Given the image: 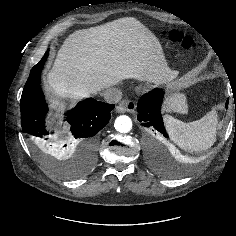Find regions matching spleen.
Returning <instances> with one entry per match:
<instances>
[{
  "instance_id": "1",
  "label": "spleen",
  "mask_w": 236,
  "mask_h": 236,
  "mask_svg": "<svg viewBox=\"0 0 236 236\" xmlns=\"http://www.w3.org/2000/svg\"><path fill=\"white\" fill-rule=\"evenodd\" d=\"M164 122L171 140L183 150L205 151L216 141L218 118L215 111H210L201 119L189 123L166 114Z\"/></svg>"
}]
</instances>
